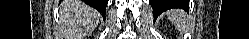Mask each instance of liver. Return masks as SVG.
Returning a JSON list of instances; mask_svg holds the SVG:
<instances>
[{"label":"liver","instance_id":"liver-1","mask_svg":"<svg viewBox=\"0 0 249 39\" xmlns=\"http://www.w3.org/2000/svg\"><path fill=\"white\" fill-rule=\"evenodd\" d=\"M74 13L77 18L78 30L81 32H90L99 22L98 12L82 1H75Z\"/></svg>","mask_w":249,"mask_h":39}]
</instances>
